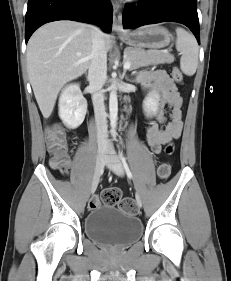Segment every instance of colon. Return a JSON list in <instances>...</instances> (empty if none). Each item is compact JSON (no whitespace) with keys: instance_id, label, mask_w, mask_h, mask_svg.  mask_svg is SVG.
Wrapping results in <instances>:
<instances>
[{"instance_id":"1","label":"colon","mask_w":231,"mask_h":281,"mask_svg":"<svg viewBox=\"0 0 231 281\" xmlns=\"http://www.w3.org/2000/svg\"><path fill=\"white\" fill-rule=\"evenodd\" d=\"M173 80L177 83H182L183 75L181 71L175 67L172 71ZM46 142L48 150L51 154L50 164L57 169H64L69 163L68 145L66 141V134L63 127L59 124H53L46 129ZM173 147L167 146L166 152L171 153ZM158 176L162 180L168 179L171 173V166L168 163H161L158 167ZM118 205L119 208L130 215L138 213V208L131 198H122L121 192L117 188L106 189L101 197H94L90 200V208H96L101 204Z\"/></svg>"}]
</instances>
